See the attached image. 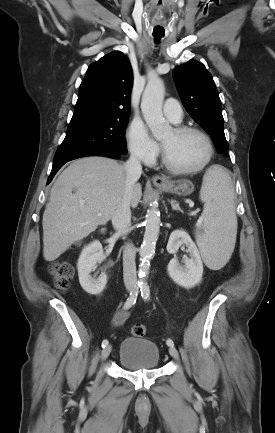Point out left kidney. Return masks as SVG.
Instances as JSON below:
<instances>
[{
    "mask_svg": "<svg viewBox=\"0 0 275 433\" xmlns=\"http://www.w3.org/2000/svg\"><path fill=\"white\" fill-rule=\"evenodd\" d=\"M182 244L187 246L190 258L184 260V266H181L176 258L171 259L168 264V273L176 284L184 288H192L202 278L203 262L195 243L183 230H175L171 233L167 244L168 253H176Z\"/></svg>",
    "mask_w": 275,
    "mask_h": 433,
    "instance_id": "5707ae66",
    "label": "left kidney"
}]
</instances>
